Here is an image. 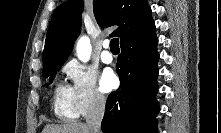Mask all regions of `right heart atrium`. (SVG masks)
Here are the masks:
<instances>
[{
	"mask_svg": "<svg viewBox=\"0 0 221 133\" xmlns=\"http://www.w3.org/2000/svg\"><path fill=\"white\" fill-rule=\"evenodd\" d=\"M63 72L71 81V94L79 115L85 116L104 108L106 96L98 86L94 71L77 61H70L64 65Z\"/></svg>",
	"mask_w": 221,
	"mask_h": 133,
	"instance_id": "d8ad5b80",
	"label": "right heart atrium"
}]
</instances>
